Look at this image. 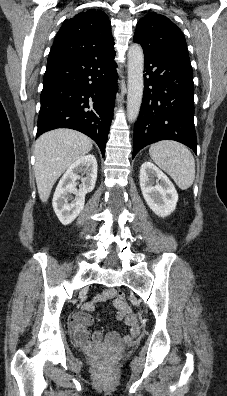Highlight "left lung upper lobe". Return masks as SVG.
<instances>
[{
    "mask_svg": "<svg viewBox=\"0 0 227 396\" xmlns=\"http://www.w3.org/2000/svg\"><path fill=\"white\" fill-rule=\"evenodd\" d=\"M133 40L140 43L143 50L166 52L189 60L183 33L164 15L149 13L141 18Z\"/></svg>",
    "mask_w": 227,
    "mask_h": 396,
    "instance_id": "5c2ea615",
    "label": "left lung upper lobe"
}]
</instances>
